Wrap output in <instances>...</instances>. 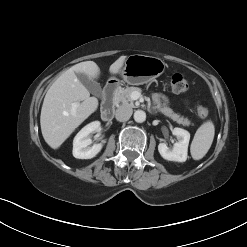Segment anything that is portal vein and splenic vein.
<instances>
[{
    "mask_svg": "<svg viewBox=\"0 0 247 247\" xmlns=\"http://www.w3.org/2000/svg\"><path fill=\"white\" fill-rule=\"evenodd\" d=\"M132 97L133 99H137L138 97H140V94L138 92H133L132 93ZM79 103H73L72 106H73V109H75L76 107H78Z\"/></svg>",
    "mask_w": 247,
    "mask_h": 247,
    "instance_id": "portal-vein-and-splenic-vein-1",
    "label": "portal vein and splenic vein"
}]
</instances>
